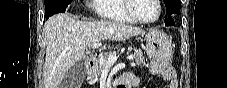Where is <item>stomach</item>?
<instances>
[{"label": "stomach", "instance_id": "stomach-1", "mask_svg": "<svg viewBox=\"0 0 227 88\" xmlns=\"http://www.w3.org/2000/svg\"><path fill=\"white\" fill-rule=\"evenodd\" d=\"M146 53L152 59L150 69L154 73L162 72L170 63L173 55V43L161 30H152L145 35Z\"/></svg>", "mask_w": 227, "mask_h": 88}]
</instances>
